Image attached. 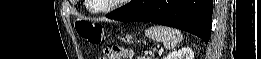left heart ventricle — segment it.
I'll use <instances>...</instances> for the list:
<instances>
[{"mask_svg":"<svg viewBox=\"0 0 261 59\" xmlns=\"http://www.w3.org/2000/svg\"><path fill=\"white\" fill-rule=\"evenodd\" d=\"M116 0H92L90 3L93 8H106L112 5Z\"/></svg>","mask_w":261,"mask_h":59,"instance_id":"1","label":"left heart ventricle"}]
</instances>
